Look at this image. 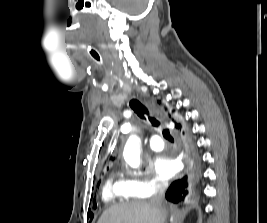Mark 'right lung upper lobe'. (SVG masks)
I'll return each mask as SVG.
<instances>
[{
  "mask_svg": "<svg viewBox=\"0 0 267 223\" xmlns=\"http://www.w3.org/2000/svg\"><path fill=\"white\" fill-rule=\"evenodd\" d=\"M173 121H174V120H173ZM175 127H176L177 129L180 130V129L182 128V125H181L180 123H176V122H175Z\"/></svg>",
  "mask_w": 267,
  "mask_h": 223,
  "instance_id": "1",
  "label": "right lung upper lobe"
}]
</instances>
